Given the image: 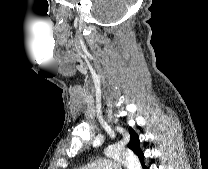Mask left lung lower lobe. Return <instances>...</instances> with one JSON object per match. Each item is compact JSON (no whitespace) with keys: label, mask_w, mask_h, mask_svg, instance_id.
<instances>
[{"label":"left lung lower lobe","mask_w":208,"mask_h":169,"mask_svg":"<svg viewBox=\"0 0 208 169\" xmlns=\"http://www.w3.org/2000/svg\"><path fill=\"white\" fill-rule=\"evenodd\" d=\"M137 156L139 157V159H140V161H141V163H142L143 169H148V167L145 166V164H144V162H143V159H144V154H143V152H142V151L139 152V153L137 154Z\"/></svg>","instance_id":"left-lung-lower-lobe-1"}]
</instances>
